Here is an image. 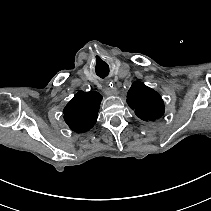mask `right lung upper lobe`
<instances>
[{
    "label": "right lung upper lobe",
    "mask_w": 211,
    "mask_h": 211,
    "mask_svg": "<svg viewBox=\"0 0 211 211\" xmlns=\"http://www.w3.org/2000/svg\"><path fill=\"white\" fill-rule=\"evenodd\" d=\"M101 100L98 92L79 91L63 111L70 129L78 133L90 130L96 123Z\"/></svg>",
    "instance_id": "1"
}]
</instances>
